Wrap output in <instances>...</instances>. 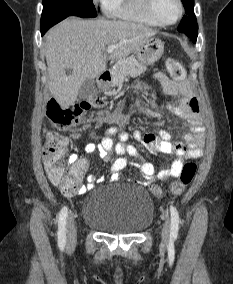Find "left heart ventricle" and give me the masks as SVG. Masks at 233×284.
I'll return each instance as SVG.
<instances>
[{"label": "left heart ventricle", "mask_w": 233, "mask_h": 284, "mask_svg": "<svg viewBox=\"0 0 233 284\" xmlns=\"http://www.w3.org/2000/svg\"><path fill=\"white\" fill-rule=\"evenodd\" d=\"M155 10L161 20L171 22L178 15L176 0H155Z\"/></svg>", "instance_id": "left-heart-ventricle-1"}]
</instances>
